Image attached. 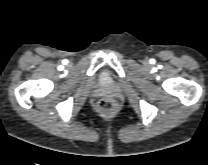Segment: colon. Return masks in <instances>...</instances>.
I'll return each mask as SVG.
<instances>
[{
	"label": "colon",
	"instance_id": "colon-1",
	"mask_svg": "<svg viewBox=\"0 0 208 165\" xmlns=\"http://www.w3.org/2000/svg\"><path fill=\"white\" fill-rule=\"evenodd\" d=\"M115 103L110 99H101L97 103V110L102 115H110L115 111Z\"/></svg>",
	"mask_w": 208,
	"mask_h": 165
}]
</instances>
